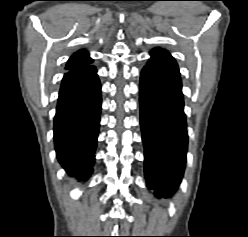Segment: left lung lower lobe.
Returning <instances> with one entry per match:
<instances>
[{"label":"left lung lower lobe","instance_id":"left-lung-lower-lobe-1","mask_svg":"<svg viewBox=\"0 0 248 237\" xmlns=\"http://www.w3.org/2000/svg\"><path fill=\"white\" fill-rule=\"evenodd\" d=\"M140 123L147 185L167 197L182 179L188 136L180 74L152 60L140 78Z\"/></svg>","mask_w":248,"mask_h":237}]
</instances>
